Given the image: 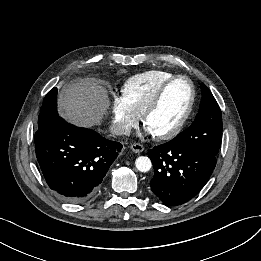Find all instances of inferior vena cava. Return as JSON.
<instances>
[{
  "label": "inferior vena cava",
  "mask_w": 261,
  "mask_h": 261,
  "mask_svg": "<svg viewBox=\"0 0 261 261\" xmlns=\"http://www.w3.org/2000/svg\"><path fill=\"white\" fill-rule=\"evenodd\" d=\"M110 131L115 135H128L130 128L123 123L117 122L110 126Z\"/></svg>",
  "instance_id": "602c4592"
}]
</instances>
